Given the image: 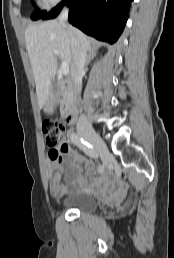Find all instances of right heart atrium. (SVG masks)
<instances>
[{"mask_svg": "<svg viewBox=\"0 0 174 258\" xmlns=\"http://www.w3.org/2000/svg\"><path fill=\"white\" fill-rule=\"evenodd\" d=\"M39 1L45 9H51L52 7L56 6L61 0H39Z\"/></svg>", "mask_w": 174, "mask_h": 258, "instance_id": "right-heart-atrium-1", "label": "right heart atrium"}]
</instances>
